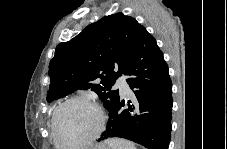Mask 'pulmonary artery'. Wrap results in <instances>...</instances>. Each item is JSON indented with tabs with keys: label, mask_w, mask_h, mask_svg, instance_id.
Segmentation results:
<instances>
[{
	"label": "pulmonary artery",
	"mask_w": 227,
	"mask_h": 149,
	"mask_svg": "<svg viewBox=\"0 0 227 149\" xmlns=\"http://www.w3.org/2000/svg\"><path fill=\"white\" fill-rule=\"evenodd\" d=\"M115 88L120 89L121 93L123 94H129L130 93V88L124 78H120L116 81L115 83Z\"/></svg>",
	"instance_id": "obj_1"
}]
</instances>
